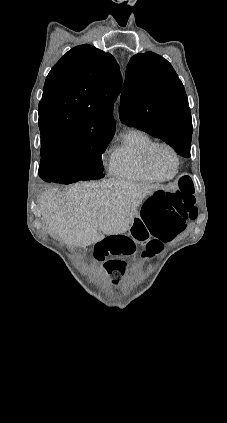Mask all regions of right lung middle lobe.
I'll return each mask as SVG.
<instances>
[{
  "label": "right lung middle lobe",
  "mask_w": 227,
  "mask_h": 423,
  "mask_svg": "<svg viewBox=\"0 0 227 423\" xmlns=\"http://www.w3.org/2000/svg\"><path fill=\"white\" fill-rule=\"evenodd\" d=\"M113 135L73 136L41 143V162L51 161L67 167L76 180L100 179L104 175L102 153Z\"/></svg>",
  "instance_id": "dd1d6c3e"
}]
</instances>
